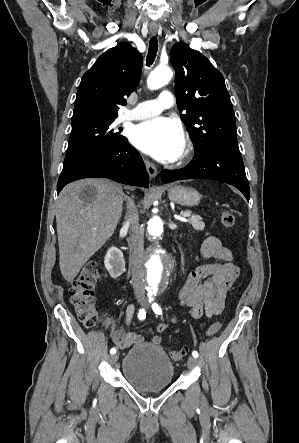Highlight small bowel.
I'll return each mask as SVG.
<instances>
[{
  "instance_id": "c3829d8e",
  "label": "small bowel",
  "mask_w": 299,
  "mask_h": 443,
  "mask_svg": "<svg viewBox=\"0 0 299 443\" xmlns=\"http://www.w3.org/2000/svg\"><path fill=\"white\" fill-rule=\"evenodd\" d=\"M201 256L205 263L193 269L182 287L180 294L182 304L186 305L193 318L205 315L211 318L222 313L227 291L238 279L240 269L235 264L233 253L225 247L216 236H209L201 247ZM135 313V307L130 304L125 312L126 329H118L112 335L113 343L122 350L128 349L133 344L144 342L142 335L130 329ZM175 319H172V323ZM169 324L160 323L156 326V332L167 331ZM162 337L155 334L150 343L159 346Z\"/></svg>"
}]
</instances>
